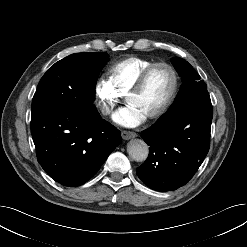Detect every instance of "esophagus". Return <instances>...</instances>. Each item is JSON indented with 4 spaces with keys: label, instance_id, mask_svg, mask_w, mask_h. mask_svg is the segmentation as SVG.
I'll use <instances>...</instances> for the list:
<instances>
[{
    "label": "esophagus",
    "instance_id": "esophagus-1",
    "mask_svg": "<svg viewBox=\"0 0 247 247\" xmlns=\"http://www.w3.org/2000/svg\"><path fill=\"white\" fill-rule=\"evenodd\" d=\"M121 136L124 140H129L131 138H135L137 134L131 131H122Z\"/></svg>",
    "mask_w": 247,
    "mask_h": 247
}]
</instances>
